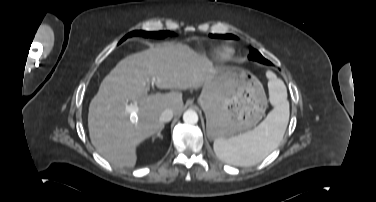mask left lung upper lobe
Masks as SVG:
<instances>
[{"mask_svg":"<svg viewBox=\"0 0 376 202\" xmlns=\"http://www.w3.org/2000/svg\"><path fill=\"white\" fill-rule=\"evenodd\" d=\"M212 38H219V39H236L237 37L232 34L226 35H218V34H210ZM250 59L258 61L263 64L271 65L272 63L265 59L256 49L250 48Z\"/></svg>","mask_w":376,"mask_h":202,"instance_id":"obj_1","label":"left lung upper lobe"}]
</instances>
